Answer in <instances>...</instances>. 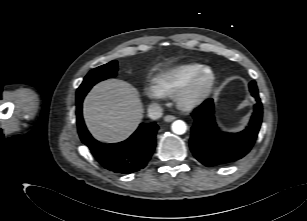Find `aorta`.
Returning <instances> with one entry per match:
<instances>
[{"instance_id": "aorta-1", "label": "aorta", "mask_w": 307, "mask_h": 221, "mask_svg": "<svg viewBox=\"0 0 307 221\" xmlns=\"http://www.w3.org/2000/svg\"><path fill=\"white\" fill-rule=\"evenodd\" d=\"M172 131L175 133V134H178V135H182L186 132L187 130V125L184 121L182 120H176L172 123Z\"/></svg>"}]
</instances>
